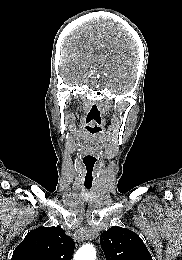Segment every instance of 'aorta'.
I'll use <instances>...</instances> for the list:
<instances>
[{
  "label": "aorta",
  "instance_id": "obj_1",
  "mask_svg": "<svg viewBox=\"0 0 182 260\" xmlns=\"http://www.w3.org/2000/svg\"><path fill=\"white\" fill-rule=\"evenodd\" d=\"M73 260H96V250L93 245L85 244L75 253Z\"/></svg>",
  "mask_w": 182,
  "mask_h": 260
}]
</instances>
